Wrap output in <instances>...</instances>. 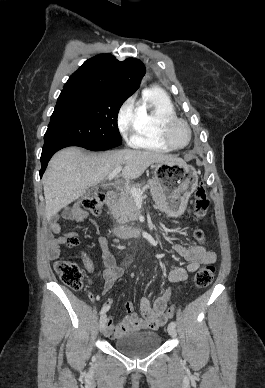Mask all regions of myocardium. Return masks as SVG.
<instances>
[{"label": "myocardium", "instance_id": "1", "mask_svg": "<svg viewBox=\"0 0 265 388\" xmlns=\"http://www.w3.org/2000/svg\"><path fill=\"white\" fill-rule=\"evenodd\" d=\"M153 91H157V90H153ZM166 96V95H165ZM175 124H179V125H182L185 130L189 131V126L187 125V123L181 119V118H178L176 117L175 115L173 116H170L168 118H166L163 122V125H162V136L164 138V140L173 148H179V146H177L172 138H171V128L173 125Z\"/></svg>", "mask_w": 265, "mask_h": 388}]
</instances>
